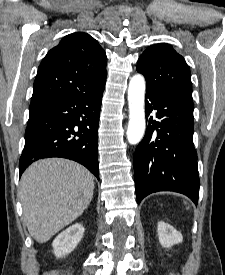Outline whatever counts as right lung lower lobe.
Returning a JSON list of instances; mask_svg holds the SVG:
<instances>
[{
    "mask_svg": "<svg viewBox=\"0 0 225 275\" xmlns=\"http://www.w3.org/2000/svg\"><path fill=\"white\" fill-rule=\"evenodd\" d=\"M105 82L106 77L88 94L30 106L20 175L38 159L62 157L84 165L99 179L97 134Z\"/></svg>",
    "mask_w": 225,
    "mask_h": 275,
    "instance_id": "1",
    "label": "right lung lower lobe"
}]
</instances>
